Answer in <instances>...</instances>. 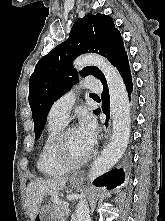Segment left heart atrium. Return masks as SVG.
I'll return each instance as SVG.
<instances>
[{"instance_id": "1", "label": "left heart atrium", "mask_w": 165, "mask_h": 221, "mask_svg": "<svg viewBox=\"0 0 165 221\" xmlns=\"http://www.w3.org/2000/svg\"><path fill=\"white\" fill-rule=\"evenodd\" d=\"M78 131L82 135V137L86 140V142L93 147L97 137V124L94 118L89 114H84L81 117Z\"/></svg>"}]
</instances>
